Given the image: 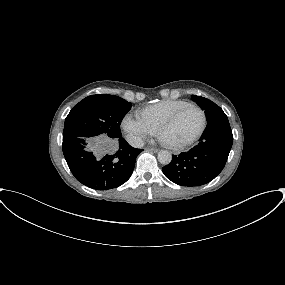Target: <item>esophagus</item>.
<instances>
[{
    "label": "esophagus",
    "instance_id": "obj_1",
    "mask_svg": "<svg viewBox=\"0 0 285 285\" xmlns=\"http://www.w3.org/2000/svg\"><path fill=\"white\" fill-rule=\"evenodd\" d=\"M146 151L158 152V149H156V148H146Z\"/></svg>",
    "mask_w": 285,
    "mask_h": 285
}]
</instances>
